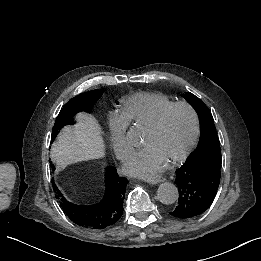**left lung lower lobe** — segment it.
<instances>
[{
    "mask_svg": "<svg viewBox=\"0 0 261 261\" xmlns=\"http://www.w3.org/2000/svg\"><path fill=\"white\" fill-rule=\"evenodd\" d=\"M221 166L202 163L184 164L176 170L178 205L170 211L175 218H194L204 213L212 204L220 182Z\"/></svg>",
    "mask_w": 261,
    "mask_h": 261,
    "instance_id": "0a47b994",
    "label": "left lung lower lobe"
}]
</instances>
